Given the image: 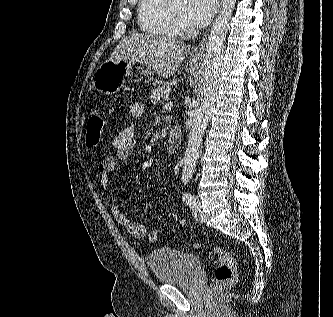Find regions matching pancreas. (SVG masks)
<instances>
[{"mask_svg":"<svg viewBox=\"0 0 333 317\" xmlns=\"http://www.w3.org/2000/svg\"><path fill=\"white\" fill-rule=\"evenodd\" d=\"M171 92V88L169 85H161L154 88L151 93L149 99L153 104H158L162 102L166 96H169Z\"/></svg>","mask_w":333,"mask_h":317,"instance_id":"obj_1","label":"pancreas"}]
</instances>
